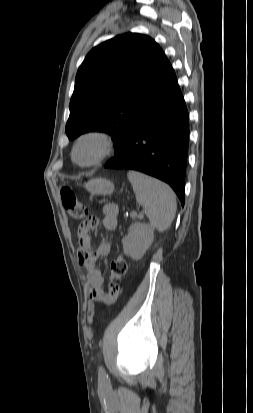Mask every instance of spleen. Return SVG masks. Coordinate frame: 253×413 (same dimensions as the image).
<instances>
[{
  "mask_svg": "<svg viewBox=\"0 0 253 413\" xmlns=\"http://www.w3.org/2000/svg\"><path fill=\"white\" fill-rule=\"evenodd\" d=\"M127 177L151 225L160 232L167 230L176 214L173 190L167 184L137 171H129Z\"/></svg>",
  "mask_w": 253,
  "mask_h": 413,
  "instance_id": "obj_1",
  "label": "spleen"
}]
</instances>
